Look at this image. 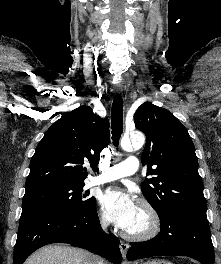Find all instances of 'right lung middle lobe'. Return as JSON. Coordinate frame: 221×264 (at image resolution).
<instances>
[{
  "mask_svg": "<svg viewBox=\"0 0 221 264\" xmlns=\"http://www.w3.org/2000/svg\"><path fill=\"white\" fill-rule=\"evenodd\" d=\"M84 183L55 182L26 189L22 211L44 210L79 213L96 205L94 197L83 192Z\"/></svg>",
  "mask_w": 221,
  "mask_h": 264,
  "instance_id": "obj_1",
  "label": "right lung middle lobe"
}]
</instances>
